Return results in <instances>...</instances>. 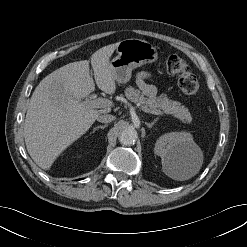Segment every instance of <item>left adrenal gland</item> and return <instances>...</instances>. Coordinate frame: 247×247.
<instances>
[{
    "label": "left adrenal gland",
    "mask_w": 247,
    "mask_h": 247,
    "mask_svg": "<svg viewBox=\"0 0 247 247\" xmlns=\"http://www.w3.org/2000/svg\"><path fill=\"white\" fill-rule=\"evenodd\" d=\"M156 121H157V118L154 119V121L151 122V123H146L147 127H148V128H152V126L156 123Z\"/></svg>",
    "instance_id": "left-adrenal-gland-1"
}]
</instances>
